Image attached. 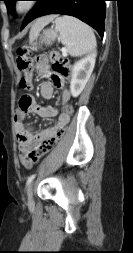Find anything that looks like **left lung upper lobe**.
<instances>
[{
    "instance_id": "obj_1",
    "label": "left lung upper lobe",
    "mask_w": 133,
    "mask_h": 253,
    "mask_svg": "<svg viewBox=\"0 0 133 253\" xmlns=\"http://www.w3.org/2000/svg\"><path fill=\"white\" fill-rule=\"evenodd\" d=\"M0 1H4L6 6H7V11L8 13H13V8H14V5H15V2L18 1V0H0Z\"/></svg>"
}]
</instances>
